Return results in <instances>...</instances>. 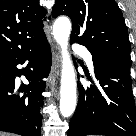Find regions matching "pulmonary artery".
<instances>
[{
	"instance_id": "e3ab8cb5",
	"label": "pulmonary artery",
	"mask_w": 136,
	"mask_h": 136,
	"mask_svg": "<svg viewBox=\"0 0 136 136\" xmlns=\"http://www.w3.org/2000/svg\"><path fill=\"white\" fill-rule=\"evenodd\" d=\"M73 50H74L76 53L81 54V55L85 58V60H86V62H87V64H88V66H89L90 68H93V67H94V65H93V60H92V54H91L84 46L79 45V44H74V45H73Z\"/></svg>"
}]
</instances>
